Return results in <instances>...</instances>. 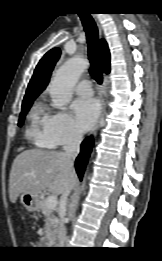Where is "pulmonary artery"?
<instances>
[{"instance_id":"1","label":"pulmonary artery","mask_w":162,"mask_h":261,"mask_svg":"<svg viewBox=\"0 0 162 261\" xmlns=\"http://www.w3.org/2000/svg\"><path fill=\"white\" fill-rule=\"evenodd\" d=\"M75 90L81 97H90L92 95L91 82L87 79H83L76 85Z\"/></svg>"}]
</instances>
